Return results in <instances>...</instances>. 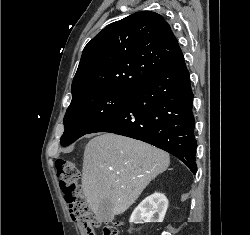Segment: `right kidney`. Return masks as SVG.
Returning a JSON list of instances; mask_svg holds the SVG:
<instances>
[{"mask_svg": "<svg viewBox=\"0 0 250 235\" xmlns=\"http://www.w3.org/2000/svg\"><path fill=\"white\" fill-rule=\"evenodd\" d=\"M168 208V200L162 193L155 192L146 197L133 211L130 223L163 222Z\"/></svg>", "mask_w": 250, "mask_h": 235, "instance_id": "obj_1", "label": "right kidney"}]
</instances>
